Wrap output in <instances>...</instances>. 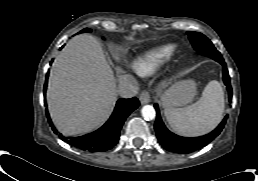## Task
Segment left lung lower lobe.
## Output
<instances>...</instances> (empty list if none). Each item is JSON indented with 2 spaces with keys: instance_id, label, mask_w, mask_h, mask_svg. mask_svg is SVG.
<instances>
[{
  "instance_id": "0a47b994",
  "label": "left lung lower lobe",
  "mask_w": 258,
  "mask_h": 181,
  "mask_svg": "<svg viewBox=\"0 0 258 181\" xmlns=\"http://www.w3.org/2000/svg\"><path fill=\"white\" fill-rule=\"evenodd\" d=\"M219 63L223 66V80H224V84L227 87L229 100H230L232 98V88L230 84V77L228 75V70L224 61H220ZM154 107L157 111L154 129L156 131V136L158 138L159 143L168 151L175 152V153H182V154L194 152L209 144L214 138H216L220 134L228 117L226 116L224 120L220 123V125L211 133L201 137L186 138V137L177 136L172 132H170L165 127L161 119L158 105L155 104Z\"/></svg>"
}]
</instances>
